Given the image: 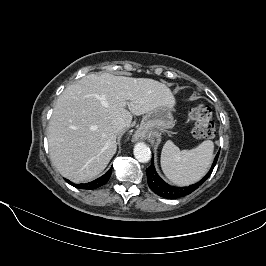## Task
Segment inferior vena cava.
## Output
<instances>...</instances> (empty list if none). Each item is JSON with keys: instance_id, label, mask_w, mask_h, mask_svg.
<instances>
[{"instance_id": "602c4592", "label": "inferior vena cava", "mask_w": 266, "mask_h": 266, "mask_svg": "<svg viewBox=\"0 0 266 266\" xmlns=\"http://www.w3.org/2000/svg\"><path fill=\"white\" fill-rule=\"evenodd\" d=\"M111 126L113 129V132L115 134H119L125 130L126 123L124 122L123 119H115L114 121H112Z\"/></svg>"}]
</instances>
